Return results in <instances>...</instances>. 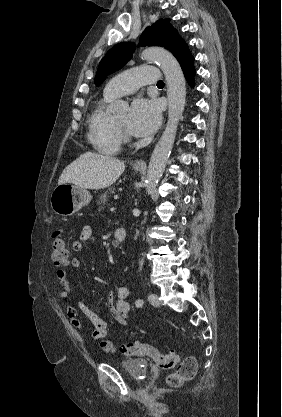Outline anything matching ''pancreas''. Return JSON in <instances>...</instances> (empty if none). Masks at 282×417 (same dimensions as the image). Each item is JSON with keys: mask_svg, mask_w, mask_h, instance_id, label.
Wrapping results in <instances>:
<instances>
[{"mask_svg": "<svg viewBox=\"0 0 282 417\" xmlns=\"http://www.w3.org/2000/svg\"><path fill=\"white\" fill-rule=\"evenodd\" d=\"M114 190V186H108L107 190H105L103 194H100L97 204H103V202H105V200L108 198L107 194H109V192H114Z\"/></svg>", "mask_w": 282, "mask_h": 417, "instance_id": "1", "label": "pancreas"}]
</instances>
